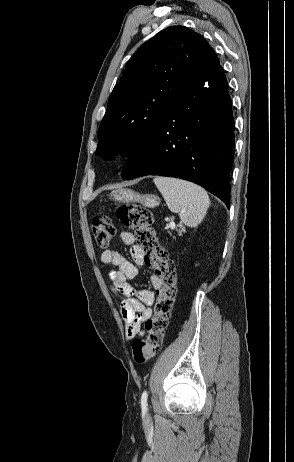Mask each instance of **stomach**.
Wrapping results in <instances>:
<instances>
[{
	"instance_id": "stomach-1",
	"label": "stomach",
	"mask_w": 294,
	"mask_h": 462,
	"mask_svg": "<svg viewBox=\"0 0 294 462\" xmlns=\"http://www.w3.org/2000/svg\"><path fill=\"white\" fill-rule=\"evenodd\" d=\"M110 198L119 202H140L142 205L154 208L159 205L160 199L152 194H139L131 189H117L111 192Z\"/></svg>"
}]
</instances>
